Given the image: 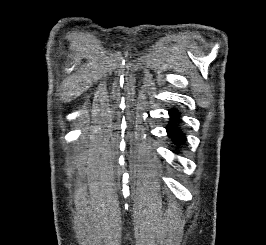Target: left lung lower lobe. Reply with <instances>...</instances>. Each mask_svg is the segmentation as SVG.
Instances as JSON below:
<instances>
[{
  "mask_svg": "<svg viewBox=\"0 0 266 245\" xmlns=\"http://www.w3.org/2000/svg\"><path fill=\"white\" fill-rule=\"evenodd\" d=\"M180 112L177 111V109H170L169 115H170V123L167 127V132L169 137L175 142L176 146H181L185 143V135L181 131L179 125L181 123L180 120Z\"/></svg>",
  "mask_w": 266,
  "mask_h": 245,
  "instance_id": "0a47b994",
  "label": "left lung lower lobe"
}]
</instances>
